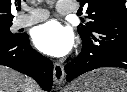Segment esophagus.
I'll list each match as a JSON object with an SVG mask.
<instances>
[{
	"instance_id": "obj_1",
	"label": "esophagus",
	"mask_w": 127,
	"mask_h": 92,
	"mask_svg": "<svg viewBox=\"0 0 127 92\" xmlns=\"http://www.w3.org/2000/svg\"><path fill=\"white\" fill-rule=\"evenodd\" d=\"M53 76L55 84L60 85L64 79V67L62 64L58 62L53 64Z\"/></svg>"
}]
</instances>
